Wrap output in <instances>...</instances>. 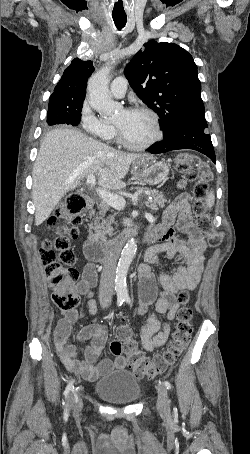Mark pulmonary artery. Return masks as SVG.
I'll use <instances>...</instances> for the list:
<instances>
[{"instance_id": "pulmonary-artery-1", "label": "pulmonary artery", "mask_w": 250, "mask_h": 454, "mask_svg": "<svg viewBox=\"0 0 250 454\" xmlns=\"http://www.w3.org/2000/svg\"><path fill=\"white\" fill-rule=\"evenodd\" d=\"M126 90L127 80L124 77H117L111 82L110 91L113 96L121 98L125 95Z\"/></svg>"}]
</instances>
